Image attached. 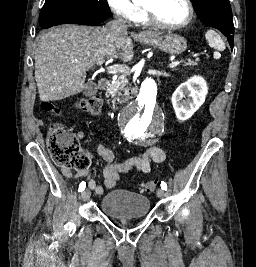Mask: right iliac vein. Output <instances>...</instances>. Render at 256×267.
<instances>
[{
    "instance_id": "1",
    "label": "right iliac vein",
    "mask_w": 256,
    "mask_h": 267,
    "mask_svg": "<svg viewBox=\"0 0 256 267\" xmlns=\"http://www.w3.org/2000/svg\"><path fill=\"white\" fill-rule=\"evenodd\" d=\"M81 196L83 201H87L90 198V190L83 191Z\"/></svg>"
}]
</instances>
